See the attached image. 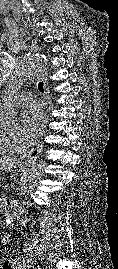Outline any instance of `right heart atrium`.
Here are the masks:
<instances>
[{
	"mask_svg": "<svg viewBox=\"0 0 118 269\" xmlns=\"http://www.w3.org/2000/svg\"><path fill=\"white\" fill-rule=\"evenodd\" d=\"M0 141L14 149H21L28 143V138L20 128H0Z\"/></svg>",
	"mask_w": 118,
	"mask_h": 269,
	"instance_id": "d8ad5b80",
	"label": "right heart atrium"
}]
</instances>
